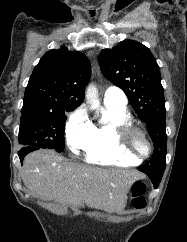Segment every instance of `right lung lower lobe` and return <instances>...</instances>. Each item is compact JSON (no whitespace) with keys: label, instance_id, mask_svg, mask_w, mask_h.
Segmentation results:
<instances>
[{"label":"right lung lower lobe","instance_id":"obj_1","mask_svg":"<svg viewBox=\"0 0 187 242\" xmlns=\"http://www.w3.org/2000/svg\"><path fill=\"white\" fill-rule=\"evenodd\" d=\"M40 148L38 147H32V146H25L23 147L19 152H18V156L21 160V163L25 157V155H27L28 153L32 152V151H35V150H38Z\"/></svg>","mask_w":187,"mask_h":242}]
</instances>
